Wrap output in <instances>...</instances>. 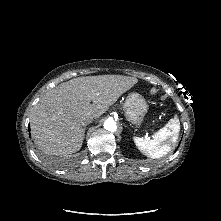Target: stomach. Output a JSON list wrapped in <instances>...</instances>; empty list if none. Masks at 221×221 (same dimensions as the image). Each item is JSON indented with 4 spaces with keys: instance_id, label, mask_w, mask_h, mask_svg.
Masks as SVG:
<instances>
[{
    "instance_id": "obj_1",
    "label": "stomach",
    "mask_w": 221,
    "mask_h": 221,
    "mask_svg": "<svg viewBox=\"0 0 221 221\" xmlns=\"http://www.w3.org/2000/svg\"><path fill=\"white\" fill-rule=\"evenodd\" d=\"M148 104L144 97L139 93H130L124 103V115L127 121L139 126L147 112Z\"/></svg>"
}]
</instances>
